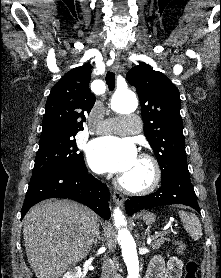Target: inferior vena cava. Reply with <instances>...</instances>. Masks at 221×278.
<instances>
[{"mask_svg": "<svg viewBox=\"0 0 221 278\" xmlns=\"http://www.w3.org/2000/svg\"><path fill=\"white\" fill-rule=\"evenodd\" d=\"M118 263L115 259L107 258L102 265L101 278H116Z\"/></svg>", "mask_w": 221, "mask_h": 278, "instance_id": "1", "label": "inferior vena cava"}]
</instances>
